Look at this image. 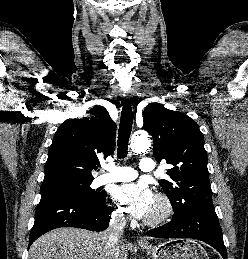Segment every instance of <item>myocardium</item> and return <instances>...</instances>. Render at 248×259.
I'll return each instance as SVG.
<instances>
[{"mask_svg": "<svg viewBox=\"0 0 248 259\" xmlns=\"http://www.w3.org/2000/svg\"><path fill=\"white\" fill-rule=\"evenodd\" d=\"M155 199L161 206V212L155 217H146L144 222L148 226H159L167 222L174 214V206L170 198L163 194L157 193Z\"/></svg>", "mask_w": 248, "mask_h": 259, "instance_id": "1", "label": "myocardium"}]
</instances>
